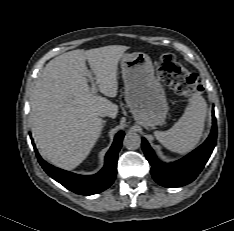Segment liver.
<instances>
[{"mask_svg":"<svg viewBox=\"0 0 234 231\" xmlns=\"http://www.w3.org/2000/svg\"><path fill=\"white\" fill-rule=\"evenodd\" d=\"M129 47L110 45L77 49L52 59L37 79L31 98L30 124L40 154L63 169L77 167L97 142L103 120L101 112L115 118L118 106L90 92L86 76L88 61L99 91L116 97L117 70Z\"/></svg>","mask_w":234,"mask_h":231,"instance_id":"obj_1","label":"liver"}]
</instances>
